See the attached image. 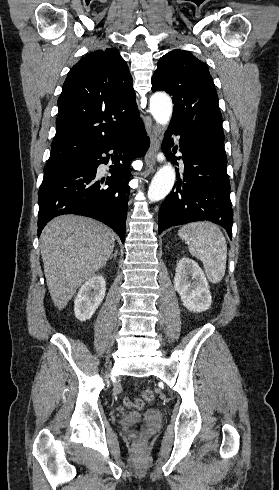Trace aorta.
Returning a JSON list of instances; mask_svg holds the SVG:
<instances>
[{"instance_id": "762f6f07", "label": "aorta", "mask_w": 279, "mask_h": 490, "mask_svg": "<svg viewBox=\"0 0 279 490\" xmlns=\"http://www.w3.org/2000/svg\"><path fill=\"white\" fill-rule=\"evenodd\" d=\"M172 101L166 93H155L150 98V112L156 122L166 126L172 115ZM176 172L171 163L162 166L153 177L148 190L150 201L165 198L173 188Z\"/></svg>"}]
</instances>
